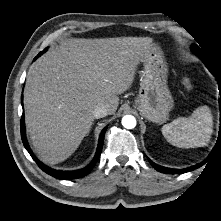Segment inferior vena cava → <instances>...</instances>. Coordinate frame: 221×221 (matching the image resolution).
<instances>
[{
	"mask_svg": "<svg viewBox=\"0 0 221 221\" xmlns=\"http://www.w3.org/2000/svg\"><path fill=\"white\" fill-rule=\"evenodd\" d=\"M109 114V109L106 105L104 104H99L95 107L93 110V116L94 118H103Z\"/></svg>",
	"mask_w": 221,
	"mask_h": 221,
	"instance_id": "inferior-vena-cava-1",
	"label": "inferior vena cava"
}]
</instances>
